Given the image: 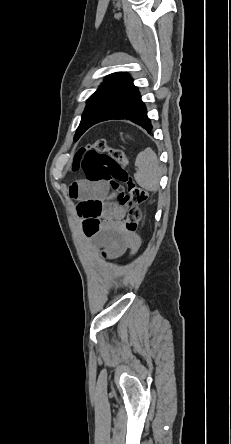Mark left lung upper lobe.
<instances>
[{
  "mask_svg": "<svg viewBox=\"0 0 231 444\" xmlns=\"http://www.w3.org/2000/svg\"><path fill=\"white\" fill-rule=\"evenodd\" d=\"M138 91L133 79L124 72L107 76L102 85L87 100L79 127L77 140L91 125L117 114L123 105Z\"/></svg>",
  "mask_w": 231,
  "mask_h": 444,
  "instance_id": "left-lung-upper-lobe-1",
  "label": "left lung upper lobe"
}]
</instances>
